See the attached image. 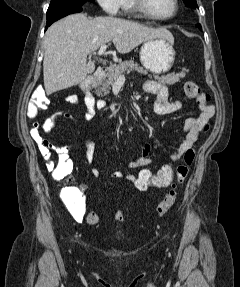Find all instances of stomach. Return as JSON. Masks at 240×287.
Masks as SVG:
<instances>
[{"instance_id": "0dacf381", "label": "stomach", "mask_w": 240, "mask_h": 287, "mask_svg": "<svg viewBox=\"0 0 240 287\" xmlns=\"http://www.w3.org/2000/svg\"><path fill=\"white\" fill-rule=\"evenodd\" d=\"M174 39L154 38L145 41L140 49V61L151 73L161 74L169 71L175 61Z\"/></svg>"}]
</instances>
